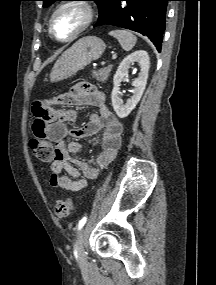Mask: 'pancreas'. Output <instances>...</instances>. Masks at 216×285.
Here are the masks:
<instances>
[{
    "label": "pancreas",
    "instance_id": "pancreas-1",
    "mask_svg": "<svg viewBox=\"0 0 216 285\" xmlns=\"http://www.w3.org/2000/svg\"><path fill=\"white\" fill-rule=\"evenodd\" d=\"M113 65H109L108 67L102 68L98 71H92V76L99 82H106L110 72L112 70Z\"/></svg>",
    "mask_w": 216,
    "mask_h": 285
}]
</instances>
